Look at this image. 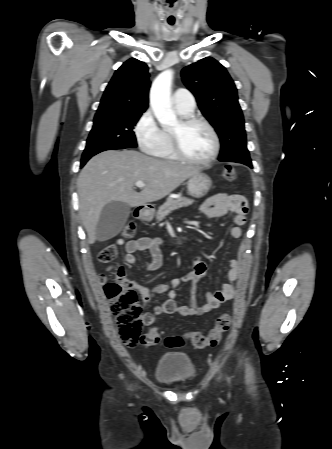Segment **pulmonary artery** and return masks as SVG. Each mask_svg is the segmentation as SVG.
I'll return each instance as SVG.
<instances>
[{"mask_svg": "<svg viewBox=\"0 0 332 449\" xmlns=\"http://www.w3.org/2000/svg\"><path fill=\"white\" fill-rule=\"evenodd\" d=\"M172 102L178 110L186 114L191 113L196 105L194 96L185 88H179L174 92Z\"/></svg>", "mask_w": 332, "mask_h": 449, "instance_id": "e3ab8cb5", "label": "pulmonary artery"}]
</instances>
